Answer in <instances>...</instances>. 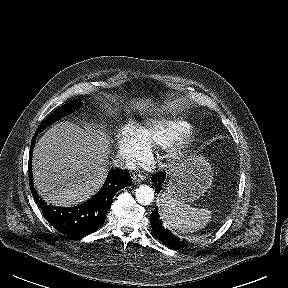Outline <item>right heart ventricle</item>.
Segmentation results:
<instances>
[{"label":"right heart ventricle","instance_id":"1","mask_svg":"<svg viewBox=\"0 0 288 288\" xmlns=\"http://www.w3.org/2000/svg\"><path fill=\"white\" fill-rule=\"evenodd\" d=\"M191 127L190 122L179 117H158L147 121L140 130L145 144L166 147Z\"/></svg>","mask_w":288,"mask_h":288}]
</instances>
